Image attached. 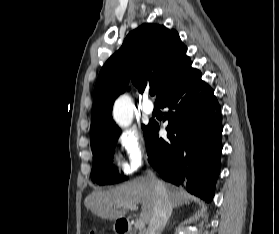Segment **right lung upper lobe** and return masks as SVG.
I'll use <instances>...</instances> for the list:
<instances>
[{"label": "right lung upper lobe", "mask_w": 279, "mask_h": 234, "mask_svg": "<svg viewBox=\"0 0 279 234\" xmlns=\"http://www.w3.org/2000/svg\"><path fill=\"white\" fill-rule=\"evenodd\" d=\"M187 47L176 30L145 23L131 31L121 48L100 71L94 88L91 113V145L118 130L112 119L114 100L126 91L129 79L142 93L154 86L157 99L190 68Z\"/></svg>", "instance_id": "right-lung-upper-lobe-1"}]
</instances>
